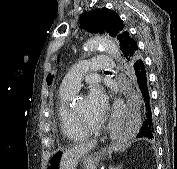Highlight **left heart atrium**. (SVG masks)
Segmentation results:
<instances>
[{
  "mask_svg": "<svg viewBox=\"0 0 177 169\" xmlns=\"http://www.w3.org/2000/svg\"><path fill=\"white\" fill-rule=\"evenodd\" d=\"M88 99L95 109L102 112L105 111L106 96L103 89L99 85L96 84L91 85L88 93Z\"/></svg>",
  "mask_w": 177,
  "mask_h": 169,
  "instance_id": "39dd6f15",
  "label": "left heart atrium"
}]
</instances>
